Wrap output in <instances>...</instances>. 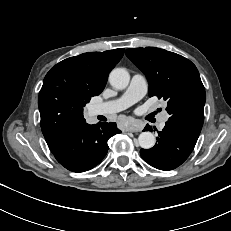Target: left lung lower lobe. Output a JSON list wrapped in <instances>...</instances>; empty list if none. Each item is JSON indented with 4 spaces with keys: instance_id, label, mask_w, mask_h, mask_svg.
Wrapping results in <instances>:
<instances>
[{
    "instance_id": "obj_1",
    "label": "left lung lower lobe",
    "mask_w": 231,
    "mask_h": 231,
    "mask_svg": "<svg viewBox=\"0 0 231 231\" xmlns=\"http://www.w3.org/2000/svg\"><path fill=\"white\" fill-rule=\"evenodd\" d=\"M152 131L147 124L144 131ZM197 134L173 123L166 122L158 132L157 143L151 149H141V157L151 166L160 170H173L191 154L198 140Z\"/></svg>"
}]
</instances>
